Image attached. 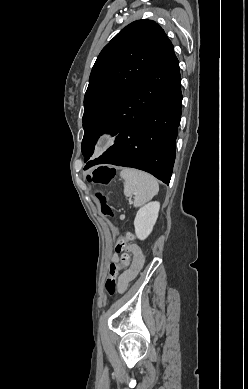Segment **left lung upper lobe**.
Returning a JSON list of instances; mask_svg holds the SVG:
<instances>
[{
  "label": "left lung upper lobe",
  "mask_w": 248,
  "mask_h": 389,
  "mask_svg": "<svg viewBox=\"0 0 248 389\" xmlns=\"http://www.w3.org/2000/svg\"><path fill=\"white\" fill-rule=\"evenodd\" d=\"M171 45L159 24L138 20L122 29L103 48L92 68L84 97L81 150L85 162L94 153L107 117Z\"/></svg>",
  "instance_id": "left-lung-upper-lobe-1"
}]
</instances>
